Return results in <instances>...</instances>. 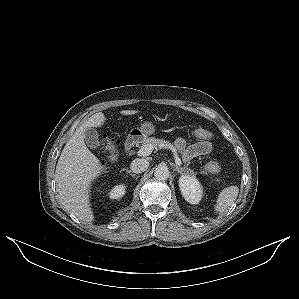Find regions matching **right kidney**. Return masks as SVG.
<instances>
[{
    "mask_svg": "<svg viewBox=\"0 0 299 299\" xmlns=\"http://www.w3.org/2000/svg\"><path fill=\"white\" fill-rule=\"evenodd\" d=\"M126 186L124 184L116 185L108 193L110 199H119L125 194Z\"/></svg>",
    "mask_w": 299,
    "mask_h": 299,
    "instance_id": "ca27d5eb",
    "label": "right kidney"
}]
</instances>
